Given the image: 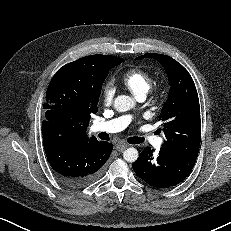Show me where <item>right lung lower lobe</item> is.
<instances>
[{
  "label": "right lung lower lobe",
  "instance_id": "98d812e1",
  "mask_svg": "<svg viewBox=\"0 0 231 231\" xmlns=\"http://www.w3.org/2000/svg\"><path fill=\"white\" fill-rule=\"evenodd\" d=\"M42 135L46 157L54 173L71 188L85 187L96 180L113 149L111 143L98 140L70 141L45 120Z\"/></svg>",
  "mask_w": 231,
  "mask_h": 231
}]
</instances>
